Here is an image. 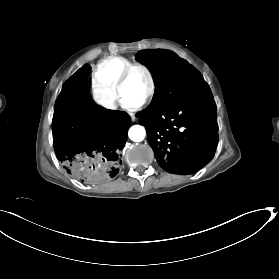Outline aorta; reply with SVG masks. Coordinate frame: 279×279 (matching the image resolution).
<instances>
[{
    "label": "aorta",
    "mask_w": 279,
    "mask_h": 279,
    "mask_svg": "<svg viewBox=\"0 0 279 279\" xmlns=\"http://www.w3.org/2000/svg\"><path fill=\"white\" fill-rule=\"evenodd\" d=\"M129 138L134 142L142 141L146 136V130L141 125H134L128 131Z\"/></svg>",
    "instance_id": "1"
}]
</instances>
